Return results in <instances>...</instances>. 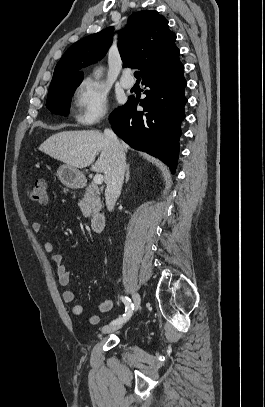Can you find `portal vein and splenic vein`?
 <instances>
[{
  "mask_svg": "<svg viewBox=\"0 0 265 407\" xmlns=\"http://www.w3.org/2000/svg\"><path fill=\"white\" fill-rule=\"evenodd\" d=\"M103 182V175L102 174H96L93 178V183L95 184H102Z\"/></svg>",
  "mask_w": 265,
  "mask_h": 407,
  "instance_id": "obj_1",
  "label": "portal vein and splenic vein"
}]
</instances>
